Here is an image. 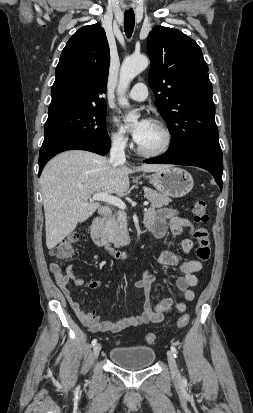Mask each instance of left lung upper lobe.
I'll list each match as a JSON object with an SVG mask.
<instances>
[{
  "instance_id": "obj_1",
  "label": "left lung upper lobe",
  "mask_w": 253,
  "mask_h": 413,
  "mask_svg": "<svg viewBox=\"0 0 253 413\" xmlns=\"http://www.w3.org/2000/svg\"><path fill=\"white\" fill-rule=\"evenodd\" d=\"M149 84L172 138L168 152L220 147L208 66L198 44L181 31L155 26L147 40Z\"/></svg>"
}]
</instances>
